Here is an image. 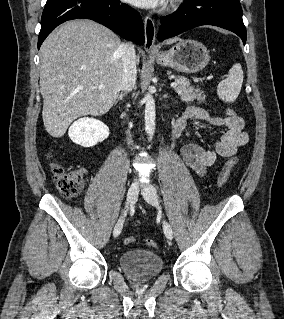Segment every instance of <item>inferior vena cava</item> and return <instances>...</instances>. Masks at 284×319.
Instances as JSON below:
<instances>
[{
    "instance_id": "602c4592",
    "label": "inferior vena cava",
    "mask_w": 284,
    "mask_h": 319,
    "mask_svg": "<svg viewBox=\"0 0 284 319\" xmlns=\"http://www.w3.org/2000/svg\"><path fill=\"white\" fill-rule=\"evenodd\" d=\"M123 70H122V90L129 92L136 83V54L132 43H123Z\"/></svg>"
}]
</instances>
